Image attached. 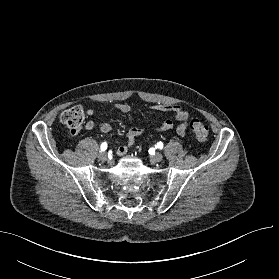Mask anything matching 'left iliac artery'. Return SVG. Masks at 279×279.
Wrapping results in <instances>:
<instances>
[{"label": "left iliac artery", "mask_w": 279, "mask_h": 279, "mask_svg": "<svg viewBox=\"0 0 279 279\" xmlns=\"http://www.w3.org/2000/svg\"><path fill=\"white\" fill-rule=\"evenodd\" d=\"M156 148L158 149H162L163 148V143L162 142H158L156 145H155Z\"/></svg>", "instance_id": "44dca946"}]
</instances>
